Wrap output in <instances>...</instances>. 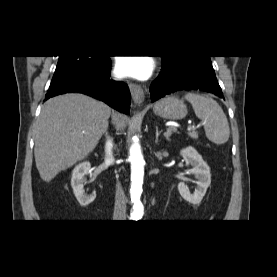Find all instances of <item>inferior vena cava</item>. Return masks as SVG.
<instances>
[{"instance_id":"inferior-vena-cava-1","label":"inferior vena cava","mask_w":277,"mask_h":277,"mask_svg":"<svg viewBox=\"0 0 277 277\" xmlns=\"http://www.w3.org/2000/svg\"><path fill=\"white\" fill-rule=\"evenodd\" d=\"M113 143L110 139H107L105 145V163H113ZM114 219L125 220L126 219V197L124 191L122 190L120 184L116 186L115 193V206H114Z\"/></svg>"}]
</instances>
